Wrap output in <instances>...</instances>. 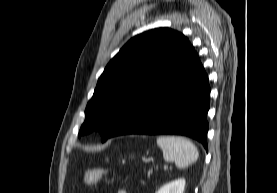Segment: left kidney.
I'll return each mask as SVG.
<instances>
[{"label": "left kidney", "mask_w": 277, "mask_h": 193, "mask_svg": "<svg viewBox=\"0 0 277 193\" xmlns=\"http://www.w3.org/2000/svg\"><path fill=\"white\" fill-rule=\"evenodd\" d=\"M185 179H177L162 186L156 193H183Z\"/></svg>", "instance_id": "1"}]
</instances>
